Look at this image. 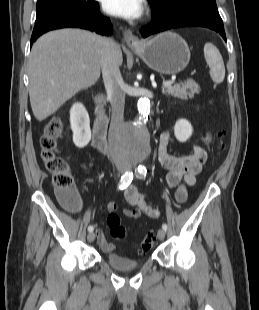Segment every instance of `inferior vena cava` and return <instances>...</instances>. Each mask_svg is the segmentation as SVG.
<instances>
[{
    "label": "inferior vena cava",
    "instance_id": "inferior-vena-cava-1",
    "mask_svg": "<svg viewBox=\"0 0 259 310\" xmlns=\"http://www.w3.org/2000/svg\"><path fill=\"white\" fill-rule=\"evenodd\" d=\"M118 45L112 39H105V50L101 58V69L104 85L112 107L109 128V144L111 155L116 164L123 162L117 147V136L123 126L125 91L124 82L115 57Z\"/></svg>",
    "mask_w": 259,
    "mask_h": 310
}]
</instances>
